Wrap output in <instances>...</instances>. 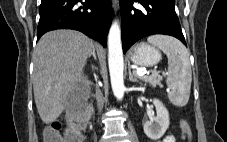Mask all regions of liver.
Listing matches in <instances>:
<instances>
[{"label":"liver","instance_id":"liver-1","mask_svg":"<svg viewBox=\"0 0 227 142\" xmlns=\"http://www.w3.org/2000/svg\"><path fill=\"white\" fill-rule=\"evenodd\" d=\"M94 50L93 40L75 30H54L40 38L33 54L32 82L36 107L45 124L60 116L81 86L89 87L83 68Z\"/></svg>","mask_w":227,"mask_h":142}]
</instances>
